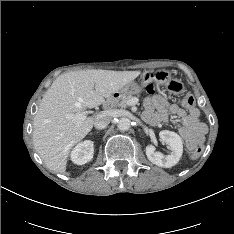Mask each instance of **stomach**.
Returning a JSON list of instances; mask_svg holds the SVG:
<instances>
[{"instance_id":"1","label":"stomach","mask_w":234,"mask_h":234,"mask_svg":"<svg viewBox=\"0 0 234 234\" xmlns=\"http://www.w3.org/2000/svg\"><path fill=\"white\" fill-rule=\"evenodd\" d=\"M171 78V73L167 70H159L157 72L146 71L141 76V85L135 81L128 82L123 87H121L116 94L119 97L126 95L138 94L142 91L143 87L152 80H157L159 83H166Z\"/></svg>"}]
</instances>
